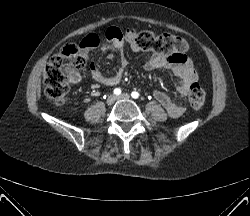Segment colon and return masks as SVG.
<instances>
[{
  "instance_id": "5ec220e1",
  "label": "colon",
  "mask_w": 250,
  "mask_h": 216,
  "mask_svg": "<svg viewBox=\"0 0 250 216\" xmlns=\"http://www.w3.org/2000/svg\"><path fill=\"white\" fill-rule=\"evenodd\" d=\"M105 36L108 40L126 38L140 50L167 56L183 54L188 49L183 38L166 32L156 34L149 30H128L122 33L116 28H109ZM84 65L85 61L78 47L68 45L62 48L46 65L43 75L46 96L56 105L65 104L68 101L71 78ZM189 102L194 110H199L204 105L205 92L196 82L189 86Z\"/></svg>"
}]
</instances>
